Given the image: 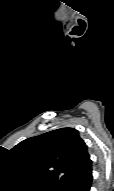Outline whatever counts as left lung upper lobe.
I'll return each mask as SVG.
<instances>
[{
  "mask_svg": "<svg viewBox=\"0 0 114 191\" xmlns=\"http://www.w3.org/2000/svg\"><path fill=\"white\" fill-rule=\"evenodd\" d=\"M10 153L26 173L54 191H61L90 160L87 145L74 128L28 138Z\"/></svg>",
  "mask_w": 114,
  "mask_h": 191,
  "instance_id": "left-lung-upper-lobe-1",
  "label": "left lung upper lobe"
}]
</instances>
